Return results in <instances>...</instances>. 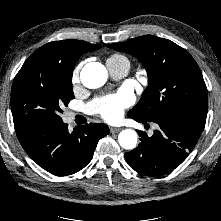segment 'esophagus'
Listing matches in <instances>:
<instances>
[{"instance_id": "1", "label": "esophagus", "mask_w": 221, "mask_h": 221, "mask_svg": "<svg viewBox=\"0 0 221 221\" xmlns=\"http://www.w3.org/2000/svg\"><path fill=\"white\" fill-rule=\"evenodd\" d=\"M121 130V128H117V127H111L110 128V132L111 133H117V132H119Z\"/></svg>"}]
</instances>
